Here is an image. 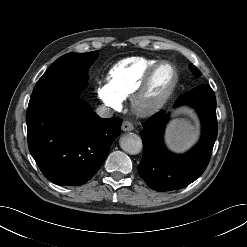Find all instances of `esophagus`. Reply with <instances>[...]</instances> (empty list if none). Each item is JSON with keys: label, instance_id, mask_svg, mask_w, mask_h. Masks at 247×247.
Segmentation results:
<instances>
[{"label": "esophagus", "instance_id": "1", "mask_svg": "<svg viewBox=\"0 0 247 247\" xmlns=\"http://www.w3.org/2000/svg\"><path fill=\"white\" fill-rule=\"evenodd\" d=\"M134 129V126L132 125V123H130L129 121H123L122 123V130L123 131H132Z\"/></svg>", "mask_w": 247, "mask_h": 247}]
</instances>
